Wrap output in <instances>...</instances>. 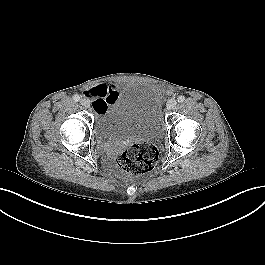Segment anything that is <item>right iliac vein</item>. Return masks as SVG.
<instances>
[{
    "mask_svg": "<svg viewBox=\"0 0 265 265\" xmlns=\"http://www.w3.org/2000/svg\"><path fill=\"white\" fill-rule=\"evenodd\" d=\"M81 105L84 106L85 108H89L90 107V102L88 99H81L80 101Z\"/></svg>",
    "mask_w": 265,
    "mask_h": 265,
    "instance_id": "right-iliac-vein-1",
    "label": "right iliac vein"
}]
</instances>
